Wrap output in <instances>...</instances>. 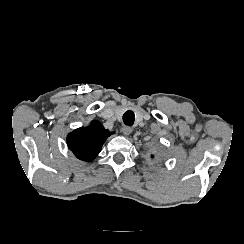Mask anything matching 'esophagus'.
Instances as JSON below:
<instances>
[{"mask_svg":"<svg viewBox=\"0 0 244 244\" xmlns=\"http://www.w3.org/2000/svg\"><path fill=\"white\" fill-rule=\"evenodd\" d=\"M121 131H122V133H123L124 135H126V136L130 135L131 132H132V130H131V128H130L129 126H123V127L121 128Z\"/></svg>","mask_w":244,"mask_h":244,"instance_id":"obj_1","label":"esophagus"}]
</instances>
